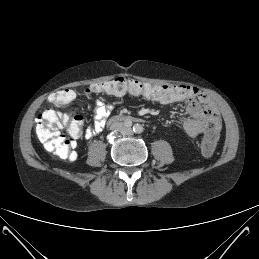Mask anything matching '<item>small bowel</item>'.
<instances>
[{"label":"small bowel","mask_w":259,"mask_h":259,"mask_svg":"<svg viewBox=\"0 0 259 259\" xmlns=\"http://www.w3.org/2000/svg\"><path fill=\"white\" fill-rule=\"evenodd\" d=\"M183 85H175L179 87ZM189 87V86H187ZM87 95H91L94 91L89 88ZM159 103H162L158 98H149ZM170 103H185L188 117L183 122V128L189 137H196L199 134L207 132L211 128H215L218 132L221 128V118L212 105L209 99L199 91V97L196 100H181L180 102ZM165 104V103H162ZM111 112V105L105 103L102 99H97L93 105L94 123L91 127L82 131L81 136L86 139H91L97 136L104 128L107 117ZM77 157L74 152L72 160Z\"/></svg>","instance_id":"1"}]
</instances>
